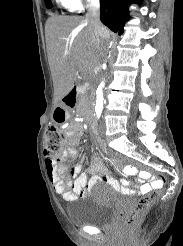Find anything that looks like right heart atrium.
Listing matches in <instances>:
<instances>
[{
  "label": "right heart atrium",
  "mask_w": 183,
  "mask_h": 246,
  "mask_svg": "<svg viewBox=\"0 0 183 246\" xmlns=\"http://www.w3.org/2000/svg\"><path fill=\"white\" fill-rule=\"evenodd\" d=\"M74 9H80L84 2H91L93 0H69Z\"/></svg>",
  "instance_id": "d8ad5b80"
}]
</instances>
